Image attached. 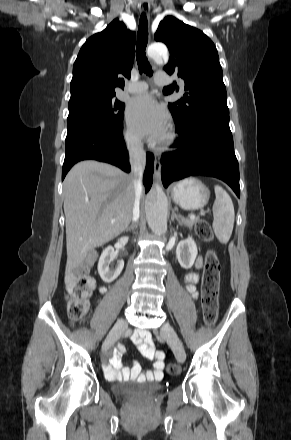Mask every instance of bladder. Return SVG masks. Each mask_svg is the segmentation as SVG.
<instances>
[{
    "mask_svg": "<svg viewBox=\"0 0 291 440\" xmlns=\"http://www.w3.org/2000/svg\"><path fill=\"white\" fill-rule=\"evenodd\" d=\"M161 390L160 386L150 388H138L134 382H119V387L115 388L114 394L119 399H129L138 395H154Z\"/></svg>",
    "mask_w": 291,
    "mask_h": 440,
    "instance_id": "bladder-1",
    "label": "bladder"
}]
</instances>
